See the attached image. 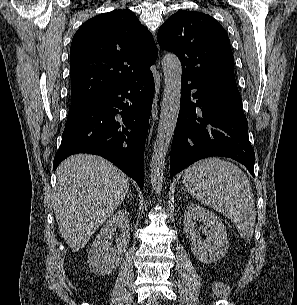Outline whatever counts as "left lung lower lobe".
I'll return each instance as SVG.
<instances>
[{
  "label": "left lung lower lobe",
  "instance_id": "0a47b994",
  "mask_svg": "<svg viewBox=\"0 0 297 305\" xmlns=\"http://www.w3.org/2000/svg\"><path fill=\"white\" fill-rule=\"evenodd\" d=\"M181 82L170 176L199 159L224 156L243 164L254 177L255 153L249 142L248 123L236 81L196 80L182 73Z\"/></svg>",
  "mask_w": 297,
  "mask_h": 305
}]
</instances>
